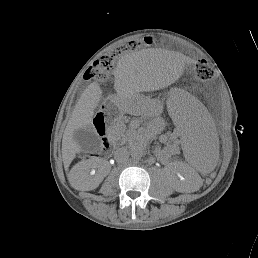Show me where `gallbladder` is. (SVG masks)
<instances>
[{
	"label": "gallbladder",
	"mask_w": 258,
	"mask_h": 258,
	"mask_svg": "<svg viewBox=\"0 0 258 258\" xmlns=\"http://www.w3.org/2000/svg\"><path fill=\"white\" fill-rule=\"evenodd\" d=\"M73 139L85 152H93L100 147V138L91 126L76 130Z\"/></svg>",
	"instance_id": "1"
}]
</instances>
